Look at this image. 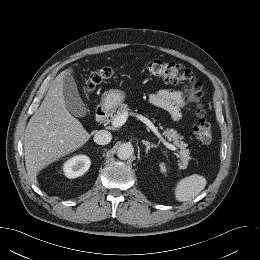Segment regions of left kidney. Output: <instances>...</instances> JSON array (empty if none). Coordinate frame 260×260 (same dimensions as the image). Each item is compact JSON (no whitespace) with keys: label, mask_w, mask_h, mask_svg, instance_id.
<instances>
[{"label":"left kidney","mask_w":260,"mask_h":260,"mask_svg":"<svg viewBox=\"0 0 260 260\" xmlns=\"http://www.w3.org/2000/svg\"><path fill=\"white\" fill-rule=\"evenodd\" d=\"M160 170H161L162 173H165L167 171L166 166H165L164 163L160 164Z\"/></svg>","instance_id":"left-kidney-1"}]
</instances>
